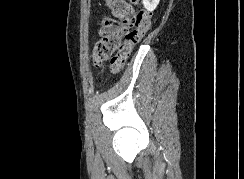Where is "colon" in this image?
I'll use <instances>...</instances> for the list:
<instances>
[{
  "label": "colon",
  "mask_w": 244,
  "mask_h": 179,
  "mask_svg": "<svg viewBox=\"0 0 244 179\" xmlns=\"http://www.w3.org/2000/svg\"><path fill=\"white\" fill-rule=\"evenodd\" d=\"M138 2L139 0L108 2L122 32L107 34L95 43L93 63L100 66L111 57L109 71L112 75L122 71L133 48L141 42L151 28L152 14L145 9L137 12L134 3Z\"/></svg>",
  "instance_id": "colon-1"
}]
</instances>
